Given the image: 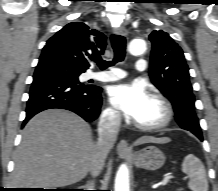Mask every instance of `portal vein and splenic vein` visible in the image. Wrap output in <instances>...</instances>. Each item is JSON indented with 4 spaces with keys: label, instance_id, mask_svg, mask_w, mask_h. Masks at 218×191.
<instances>
[{
    "label": "portal vein and splenic vein",
    "instance_id": "portal-vein-and-splenic-vein-1",
    "mask_svg": "<svg viewBox=\"0 0 218 191\" xmlns=\"http://www.w3.org/2000/svg\"><path fill=\"white\" fill-rule=\"evenodd\" d=\"M175 177L172 175H167L164 177V179L161 181V185L165 186L171 179H174Z\"/></svg>",
    "mask_w": 218,
    "mask_h": 191
}]
</instances>
